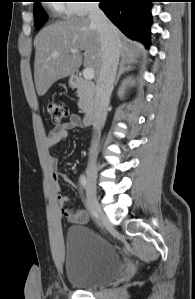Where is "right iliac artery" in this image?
<instances>
[{
  "label": "right iliac artery",
  "instance_id": "82829eb1",
  "mask_svg": "<svg viewBox=\"0 0 195 299\" xmlns=\"http://www.w3.org/2000/svg\"><path fill=\"white\" fill-rule=\"evenodd\" d=\"M80 184L83 189H85L87 187V179H86L85 175H82L80 177Z\"/></svg>",
  "mask_w": 195,
  "mask_h": 299
}]
</instances>
